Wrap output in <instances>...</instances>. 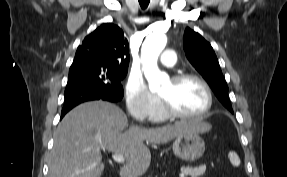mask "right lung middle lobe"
I'll use <instances>...</instances> for the list:
<instances>
[{"label":"right lung middle lobe","instance_id":"1","mask_svg":"<svg viewBox=\"0 0 287 177\" xmlns=\"http://www.w3.org/2000/svg\"><path fill=\"white\" fill-rule=\"evenodd\" d=\"M127 71L102 64H72L67 84L86 81L106 86H120Z\"/></svg>","mask_w":287,"mask_h":177}]
</instances>
